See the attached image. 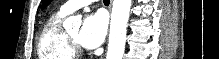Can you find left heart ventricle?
I'll return each mask as SVG.
<instances>
[{
	"label": "left heart ventricle",
	"mask_w": 219,
	"mask_h": 59,
	"mask_svg": "<svg viewBox=\"0 0 219 59\" xmlns=\"http://www.w3.org/2000/svg\"><path fill=\"white\" fill-rule=\"evenodd\" d=\"M79 33H80L79 29H76V30L70 32L69 35L78 41L79 40Z\"/></svg>",
	"instance_id": "b2bd125f"
}]
</instances>
